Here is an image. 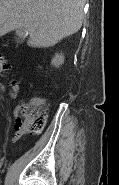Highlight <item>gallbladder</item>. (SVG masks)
Here are the masks:
<instances>
[{
    "mask_svg": "<svg viewBox=\"0 0 119 185\" xmlns=\"http://www.w3.org/2000/svg\"><path fill=\"white\" fill-rule=\"evenodd\" d=\"M16 35L20 38V41H23L27 37V33L23 29H16Z\"/></svg>",
    "mask_w": 119,
    "mask_h": 185,
    "instance_id": "obj_1",
    "label": "gallbladder"
}]
</instances>
